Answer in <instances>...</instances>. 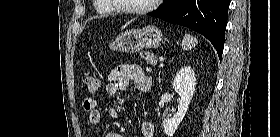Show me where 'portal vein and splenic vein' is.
<instances>
[{
    "mask_svg": "<svg viewBox=\"0 0 280 137\" xmlns=\"http://www.w3.org/2000/svg\"><path fill=\"white\" fill-rule=\"evenodd\" d=\"M159 60H160V61H163V58L161 57V58H159Z\"/></svg>",
    "mask_w": 280,
    "mask_h": 137,
    "instance_id": "18ae733b",
    "label": "portal vein and splenic vein"
}]
</instances>
